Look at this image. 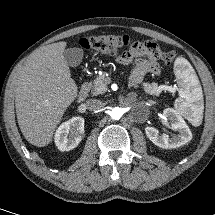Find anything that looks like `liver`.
Listing matches in <instances>:
<instances>
[{
  "mask_svg": "<svg viewBox=\"0 0 215 215\" xmlns=\"http://www.w3.org/2000/svg\"><path fill=\"white\" fill-rule=\"evenodd\" d=\"M66 42L34 51L13 76L18 124L25 139L44 147L78 94L63 52Z\"/></svg>",
  "mask_w": 215,
  "mask_h": 215,
  "instance_id": "liver-1",
  "label": "liver"
}]
</instances>
